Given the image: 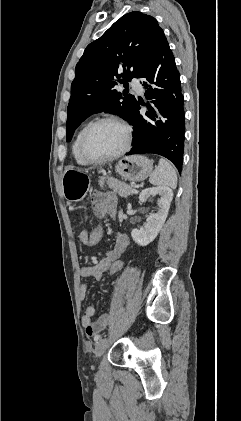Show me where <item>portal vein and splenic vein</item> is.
I'll return each instance as SVG.
<instances>
[{
    "instance_id": "obj_1",
    "label": "portal vein and splenic vein",
    "mask_w": 241,
    "mask_h": 421,
    "mask_svg": "<svg viewBox=\"0 0 241 421\" xmlns=\"http://www.w3.org/2000/svg\"><path fill=\"white\" fill-rule=\"evenodd\" d=\"M133 193H138V191L136 189H132Z\"/></svg>"
}]
</instances>
